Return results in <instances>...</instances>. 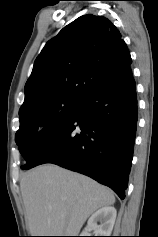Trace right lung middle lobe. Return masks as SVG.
I'll return each mask as SVG.
<instances>
[{
  "label": "right lung middle lobe",
  "instance_id": "dd1d6c3e",
  "mask_svg": "<svg viewBox=\"0 0 158 237\" xmlns=\"http://www.w3.org/2000/svg\"><path fill=\"white\" fill-rule=\"evenodd\" d=\"M82 102L57 98L20 114V128L15 140L27 163L39 146L77 112Z\"/></svg>",
  "mask_w": 158,
  "mask_h": 237
}]
</instances>
